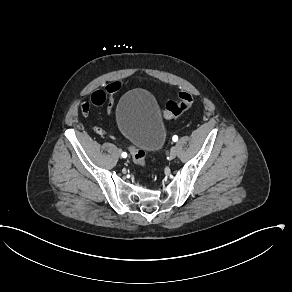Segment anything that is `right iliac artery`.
Segmentation results:
<instances>
[{
    "mask_svg": "<svg viewBox=\"0 0 292 292\" xmlns=\"http://www.w3.org/2000/svg\"><path fill=\"white\" fill-rule=\"evenodd\" d=\"M121 155H122L123 158L127 157V153L126 152H123Z\"/></svg>",
    "mask_w": 292,
    "mask_h": 292,
    "instance_id": "obj_1",
    "label": "right iliac artery"
}]
</instances>
